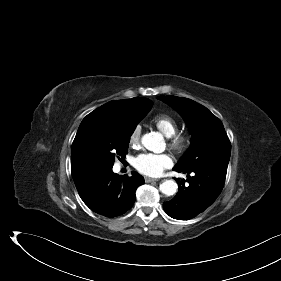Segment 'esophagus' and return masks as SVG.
I'll list each match as a JSON object with an SVG mask.
<instances>
[{"label": "esophagus", "instance_id": "esophagus-1", "mask_svg": "<svg viewBox=\"0 0 281 281\" xmlns=\"http://www.w3.org/2000/svg\"><path fill=\"white\" fill-rule=\"evenodd\" d=\"M145 181H146L147 183H149V182H156V181H159V179H154V178L146 177V178H145Z\"/></svg>", "mask_w": 281, "mask_h": 281}]
</instances>
